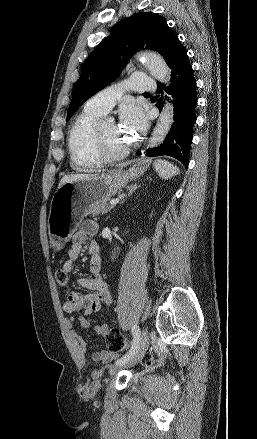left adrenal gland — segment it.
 <instances>
[{"label": "left adrenal gland", "mask_w": 257, "mask_h": 439, "mask_svg": "<svg viewBox=\"0 0 257 439\" xmlns=\"http://www.w3.org/2000/svg\"><path fill=\"white\" fill-rule=\"evenodd\" d=\"M140 187V185H137V184H135V185H131V186H129V187H127V191H128V193H127V195L125 196V197H123V199L121 200V203L125 200V198L127 197V196H130L136 189H138Z\"/></svg>", "instance_id": "a2214340"}]
</instances>
